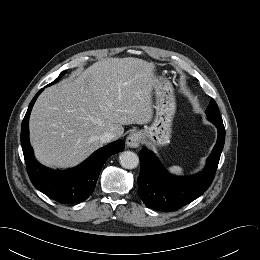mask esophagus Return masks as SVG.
Wrapping results in <instances>:
<instances>
[{"mask_svg": "<svg viewBox=\"0 0 260 260\" xmlns=\"http://www.w3.org/2000/svg\"><path fill=\"white\" fill-rule=\"evenodd\" d=\"M141 140L142 134L139 132H133L127 137L126 144L130 148H137L139 147Z\"/></svg>", "mask_w": 260, "mask_h": 260, "instance_id": "obj_1", "label": "esophagus"}]
</instances>
